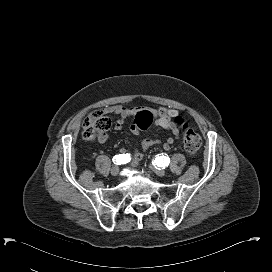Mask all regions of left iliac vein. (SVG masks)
<instances>
[{
    "instance_id": "1",
    "label": "left iliac vein",
    "mask_w": 272,
    "mask_h": 272,
    "mask_svg": "<svg viewBox=\"0 0 272 272\" xmlns=\"http://www.w3.org/2000/svg\"><path fill=\"white\" fill-rule=\"evenodd\" d=\"M150 169L154 170L155 173L160 176V177H163L165 176V170L163 168H155L153 166H149Z\"/></svg>"
}]
</instances>
